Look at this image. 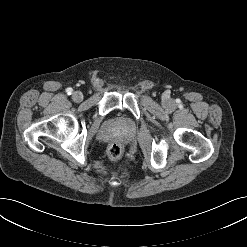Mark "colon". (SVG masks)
<instances>
[{"label":"colon","instance_id":"5ec220e1","mask_svg":"<svg viewBox=\"0 0 247 247\" xmlns=\"http://www.w3.org/2000/svg\"><path fill=\"white\" fill-rule=\"evenodd\" d=\"M122 154H123V149L121 145L116 144V143L110 145L108 149V155L111 160L113 161L119 160L122 157Z\"/></svg>","mask_w":247,"mask_h":247}]
</instances>
